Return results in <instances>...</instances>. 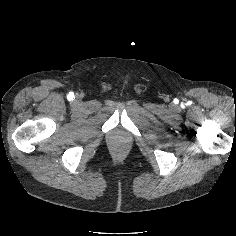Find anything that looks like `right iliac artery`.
<instances>
[{
	"label": "right iliac artery",
	"mask_w": 236,
	"mask_h": 236,
	"mask_svg": "<svg viewBox=\"0 0 236 236\" xmlns=\"http://www.w3.org/2000/svg\"><path fill=\"white\" fill-rule=\"evenodd\" d=\"M73 97H74V94H73V93H70V94L68 95V98H69V99H73Z\"/></svg>",
	"instance_id": "1"
}]
</instances>
